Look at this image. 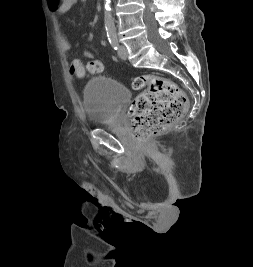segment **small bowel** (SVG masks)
I'll list each match as a JSON object with an SVG mask.
<instances>
[{
    "mask_svg": "<svg viewBox=\"0 0 253 267\" xmlns=\"http://www.w3.org/2000/svg\"><path fill=\"white\" fill-rule=\"evenodd\" d=\"M77 2L78 0H47L48 7L59 18L67 14L77 4ZM60 45L62 50L65 52L71 49V44L63 29L60 31Z\"/></svg>",
    "mask_w": 253,
    "mask_h": 267,
    "instance_id": "obj_1",
    "label": "small bowel"
}]
</instances>
